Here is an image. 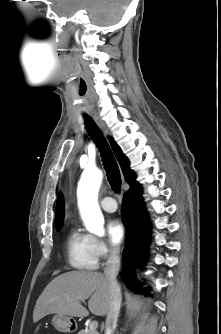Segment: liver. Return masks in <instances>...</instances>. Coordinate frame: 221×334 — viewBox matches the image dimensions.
<instances>
[{
	"mask_svg": "<svg viewBox=\"0 0 221 334\" xmlns=\"http://www.w3.org/2000/svg\"><path fill=\"white\" fill-rule=\"evenodd\" d=\"M89 299L88 309L96 316H105L110 306V284L99 272L70 271L55 277L39 296L34 312L36 323L49 314L86 317L89 311L81 302Z\"/></svg>",
	"mask_w": 221,
	"mask_h": 334,
	"instance_id": "liver-1",
	"label": "liver"
}]
</instances>
